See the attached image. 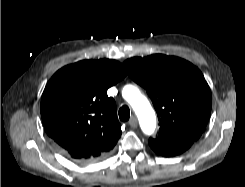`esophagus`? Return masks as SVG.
Here are the masks:
<instances>
[{
    "instance_id": "34e87169",
    "label": "esophagus",
    "mask_w": 245,
    "mask_h": 187,
    "mask_svg": "<svg viewBox=\"0 0 245 187\" xmlns=\"http://www.w3.org/2000/svg\"><path fill=\"white\" fill-rule=\"evenodd\" d=\"M128 123L132 128H136L138 126V120L135 116L131 117Z\"/></svg>"
}]
</instances>
